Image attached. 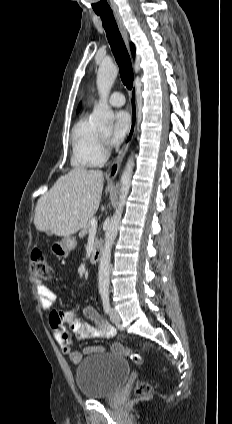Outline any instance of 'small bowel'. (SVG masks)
<instances>
[{
  "mask_svg": "<svg viewBox=\"0 0 232 424\" xmlns=\"http://www.w3.org/2000/svg\"><path fill=\"white\" fill-rule=\"evenodd\" d=\"M37 295L43 308H51L55 301L54 292L40 281L35 282ZM83 314L88 320L77 317L75 309L53 310L50 314V326L61 351L70 362L78 364L83 354L103 353L106 348L100 345L88 346L80 353L72 348V336L79 341L103 338L109 339L114 336V327L105 321L102 316L91 306L83 308ZM67 324V326L65 325ZM110 350L114 353H124V346L119 342L111 345Z\"/></svg>",
  "mask_w": 232,
  "mask_h": 424,
  "instance_id": "small-bowel-1",
  "label": "small bowel"
}]
</instances>
